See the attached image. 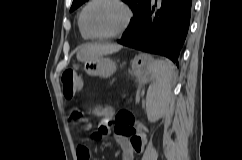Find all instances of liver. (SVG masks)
Masks as SVG:
<instances>
[{
	"label": "liver",
	"mask_w": 242,
	"mask_h": 160,
	"mask_svg": "<svg viewBox=\"0 0 242 160\" xmlns=\"http://www.w3.org/2000/svg\"><path fill=\"white\" fill-rule=\"evenodd\" d=\"M121 48L122 46L117 44H89L80 49L77 53V59L79 61L95 59L103 55L116 53Z\"/></svg>",
	"instance_id": "6515ba94"
}]
</instances>
